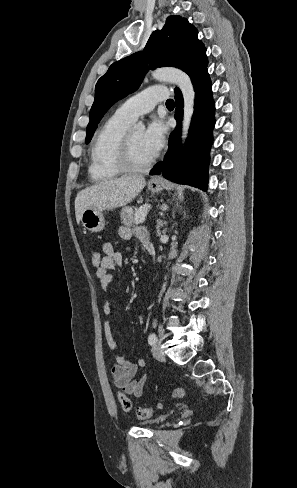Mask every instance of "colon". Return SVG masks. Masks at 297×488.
I'll use <instances>...</instances> for the list:
<instances>
[{
  "label": "colon",
  "mask_w": 297,
  "mask_h": 488,
  "mask_svg": "<svg viewBox=\"0 0 297 488\" xmlns=\"http://www.w3.org/2000/svg\"><path fill=\"white\" fill-rule=\"evenodd\" d=\"M101 258L102 257H101L99 252H96V251L92 252L91 262H92V265L97 269L101 265ZM172 395H173V397H175L177 399H182L184 397V390L182 388H176L173 390ZM117 398H118V402H119L121 408L124 411L128 412L132 409V403H131L129 397L124 392L119 391L117 393ZM159 408H161V404H157L155 407L138 408L137 409V416L139 419H148Z\"/></svg>",
  "instance_id": "obj_1"
}]
</instances>
